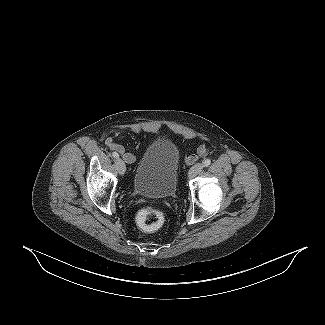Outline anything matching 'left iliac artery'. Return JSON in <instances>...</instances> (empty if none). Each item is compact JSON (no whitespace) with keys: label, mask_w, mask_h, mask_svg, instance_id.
Masks as SVG:
<instances>
[{"label":"left iliac artery","mask_w":325,"mask_h":325,"mask_svg":"<svg viewBox=\"0 0 325 325\" xmlns=\"http://www.w3.org/2000/svg\"><path fill=\"white\" fill-rule=\"evenodd\" d=\"M204 166H209L211 164V160L210 159H206L204 162H203Z\"/></svg>","instance_id":"44dca946"}]
</instances>
